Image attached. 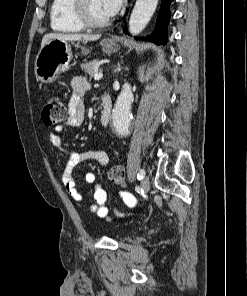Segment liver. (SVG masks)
I'll use <instances>...</instances> for the list:
<instances>
[{
  "mask_svg": "<svg viewBox=\"0 0 247 296\" xmlns=\"http://www.w3.org/2000/svg\"><path fill=\"white\" fill-rule=\"evenodd\" d=\"M101 37V35H81V34H64V33H48L44 35L41 47H43L51 39H58L62 41H96Z\"/></svg>",
  "mask_w": 247,
  "mask_h": 296,
  "instance_id": "6515ba94",
  "label": "liver"
}]
</instances>
